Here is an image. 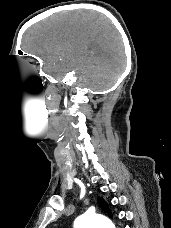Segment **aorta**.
I'll return each instance as SVG.
<instances>
[{"instance_id":"aorta-1","label":"aorta","mask_w":171,"mask_h":228,"mask_svg":"<svg viewBox=\"0 0 171 228\" xmlns=\"http://www.w3.org/2000/svg\"><path fill=\"white\" fill-rule=\"evenodd\" d=\"M74 228H115L105 216L85 213L74 221Z\"/></svg>"}]
</instances>
